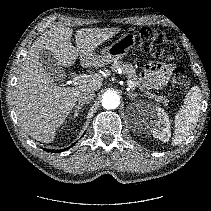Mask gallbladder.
<instances>
[{"label": "gallbladder", "instance_id": "gallbladder-1", "mask_svg": "<svg viewBox=\"0 0 211 211\" xmlns=\"http://www.w3.org/2000/svg\"><path fill=\"white\" fill-rule=\"evenodd\" d=\"M39 60L45 68L46 72L57 81H61L65 76V71L62 66L56 61L53 55L48 50H41Z\"/></svg>", "mask_w": 211, "mask_h": 211}]
</instances>
